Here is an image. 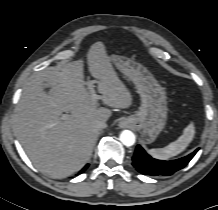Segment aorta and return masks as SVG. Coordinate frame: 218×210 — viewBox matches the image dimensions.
<instances>
[{"label": "aorta", "instance_id": "obj_1", "mask_svg": "<svg viewBox=\"0 0 218 210\" xmlns=\"http://www.w3.org/2000/svg\"><path fill=\"white\" fill-rule=\"evenodd\" d=\"M120 141L125 145V146H132L135 143V135L132 131L130 130H124L120 134Z\"/></svg>", "mask_w": 218, "mask_h": 210}]
</instances>
